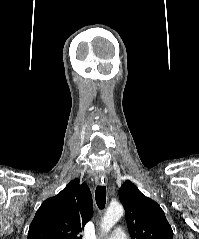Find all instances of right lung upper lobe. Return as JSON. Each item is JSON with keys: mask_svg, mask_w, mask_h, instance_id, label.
I'll list each match as a JSON object with an SVG mask.
<instances>
[{"mask_svg": "<svg viewBox=\"0 0 199 239\" xmlns=\"http://www.w3.org/2000/svg\"><path fill=\"white\" fill-rule=\"evenodd\" d=\"M92 209L90 189L75 179L41 204L29 227L28 239H81Z\"/></svg>", "mask_w": 199, "mask_h": 239, "instance_id": "obj_1", "label": "right lung upper lobe"}]
</instances>
